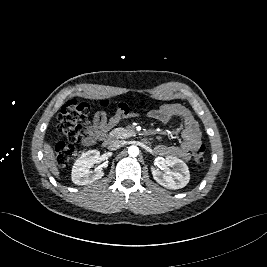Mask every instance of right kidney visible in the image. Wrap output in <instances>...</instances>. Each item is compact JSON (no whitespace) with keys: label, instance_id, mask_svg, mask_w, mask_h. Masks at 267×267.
Returning a JSON list of instances; mask_svg holds the SVG:
<instances>
[{"label":"right kidney","instance_id":"1","mask_svg":"<svg viewBox=\"0 0 267 267\" xmlns=\"http://www.w3.org/2000/svg\"><path fill=\"white\" fill-rule=\"evenodd\" d=\"M101 161L98 150L85 152L78 158L72 167V182L76 185H87L104 176L101 169L90 170L91 166Z\"/></svg>","mask_w":267,"mask_h":267}]
</instances>
